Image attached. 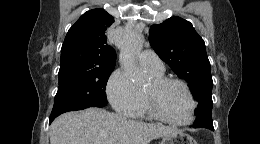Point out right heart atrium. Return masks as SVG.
I'll return each mask as SVG.
<instances>
[{
	"mask_svg": "<svg viewBox=\"0 0 260 144\" xmlns=\"http://www.w3.org/2000/svg\"><path fill=\"white\" fill-rule=\"evenodd\" d=\"M105 91L108 101L116 112L128 116L132 114L138 104V95L123 69L118 68L111 73Z\"/></svg>",
	"mask_w": 260,
	"mask_h": 144,
	"instance_id": "obj_1",
	"label": "right heart atrium"
}]
</instances>
